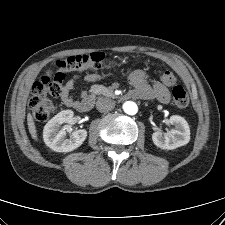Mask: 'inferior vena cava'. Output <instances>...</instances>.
Segmentation results:
<instances>
[{
	"label": "inferior vena cava",
	"mask_w": 225,
	"mask_h": 225,
	"mask_svg": "<svg viewBox=\"0 0 225 225\" xmlns=\"http://www.w3.org/2000/svg\"><path fill=\"white\" fill-rule=\"evenodd\" d=\"M96 107L100 112H108L115 107V102L109 98H100L96 102Z\"/></svg>",
	"instance_id": "inferior-vena-cava-1"
}]
</instances>
